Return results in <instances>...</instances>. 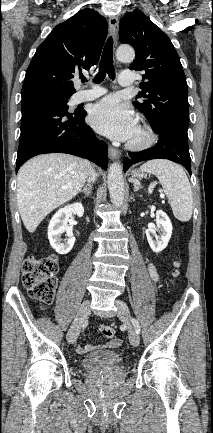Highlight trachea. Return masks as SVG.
Wrapping results in <instances>:
<instances>
[{"mask_svg":"<svg viewBox=\"0 0 213 433\" xmlns=\"http://www.w3.org/2000/svg\"><path fill=\"white\" fill-rule=\"evenodd\" d=\"M106 75H108L112 80L115 79L114 65H113V39L109 37L103 49L99 72L94 78L96 84L101 83ZM82 82H86V78H82Z\"/></svg>","mask_w":213,"mask_h":433,"instance_id":"obj_1","label":"trachea"}]
</instances>
